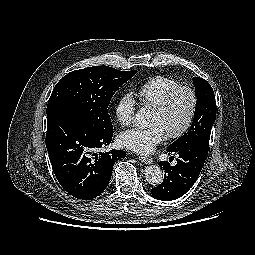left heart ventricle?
I'll return each instance as SVG.
<instances>
[{
  "label": "left heart ventricle",
  "mask_w": 255,
  "mask_h": 255,
  "mask_svg": "<svg viewBox=\"0 0 255 255\" xmlns=\"http://www.w3.org/2000/svg\"><path fill=\"white\" fill-rule=\"evenodd\" d=\"M191 108V97L187 92L178 93L166 112L160 113L153 109L152 125H160L164 132L178 130L186 121Z\"/></svg>",
  "instance_id": "obj_1"
}]
</instances>
